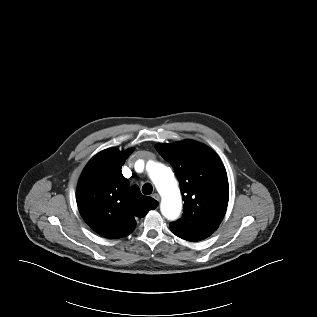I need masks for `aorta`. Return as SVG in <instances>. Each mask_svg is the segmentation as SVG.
Segmentation results:
<instances>
[{"label": "aorta", "mask_w": 317, "mask_h": 317, "mask_svg": "<svg viewBox=\"0 0 317 317\" xmlns=\"http://www.w3.org/2000/svg\"><path fill=\"white\" fill-rule=\"evenodd\" d=\"M146 173L161 194L162 215L168 220L176 219L182 210V199L172 169L165 163L148 160Z\"/></svg>", "instance_id": "762f6f07"}]
</instances>
